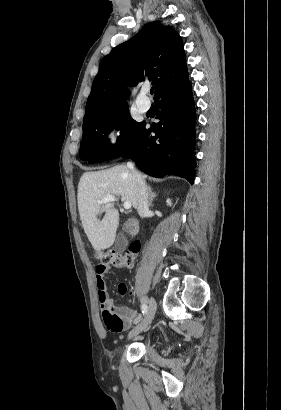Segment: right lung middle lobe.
Instances as JSON below:
<instances>
[{
    "label": "right lung middle lobe",
    "instance_id": "dd1d6c3e",
    "mask_svg": "<svg viewBox=\"0 0 281 410\" xmlns=\"http://www.w3.org/2000/svg\"><path fill=\"white\" fill-rule=\"evenodd\" d=\"M142 123L134 121L126 107L83 124L81 159L93 162L119 157L128 148ZM115 127L121 132L113 145L109 142L108 134Z\"/></svg>",
    "mask_w": 281,
    "mask_h": 410
}]
</instances>
